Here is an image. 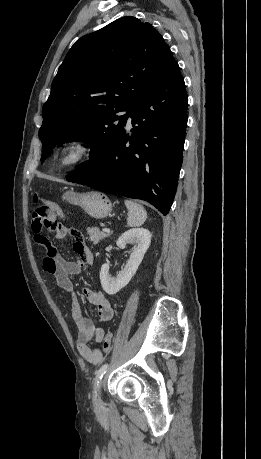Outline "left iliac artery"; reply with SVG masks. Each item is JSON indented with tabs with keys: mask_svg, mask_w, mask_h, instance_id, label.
I'll use <instances>...</instances> for the list:
<instances>
[{
	"mask_svg": "<svg viewBox=\"0 0 261 459\" xmlns=\"http://www.w3.org/2000/svg\"><path fill=\"white\" fill-rule=\"evenodd\" d=\"M108 368V364H104L97 372L96 378H95V385L99 383V381L102 379L103 375L106 373Z\"/></svg>",
	"mask_w": 261,
	"mask_h": 459,
	"instance_id": "1",
	"label": "left iliac artery"
}]
</instances>
